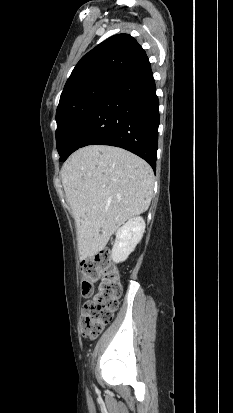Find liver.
Returning <instances> with one entry per match:
<instances>
[{
    "label": "liver",
    "instance_id": "obj_1",
    "mask_svg": "<svg viewBox=\"0 0 233 413\" xmlns=\"http://www.w3.org/2000/svg\"><path fill=\"white\" fill-rule=\"evenodd\" d=\"M61 179L76 222L81 260L104 249L125 221L145 212L153 195L150 165L118 147L77 150L64 163Z\"/></svg>",
    "mask_w": 233,
    "mask_h": 413
}]
</instances>
